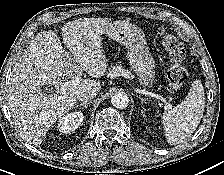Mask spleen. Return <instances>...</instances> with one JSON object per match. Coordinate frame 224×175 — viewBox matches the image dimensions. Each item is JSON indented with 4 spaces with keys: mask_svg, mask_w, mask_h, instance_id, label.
Returning <instances> with one entry per match:
<instances>
[{
    "mask_svg": "<svg viewBox=\"0 0 224 175\" xmlns=\"http://www.w3.org/2000/svg\"><path fill=\"white\" fill-rule=\"evenodd\" d=\"M204 105V89L202 83L196 80L191 84L184 101L162 115L165 137L170 145L182 142L196 130L203 115Z\"/></svg>",
    "mask_w": 224,
    "mask_h": 175,
    "instance_id": "obj_1",
    "label": "spleen"
}]
</instances>
